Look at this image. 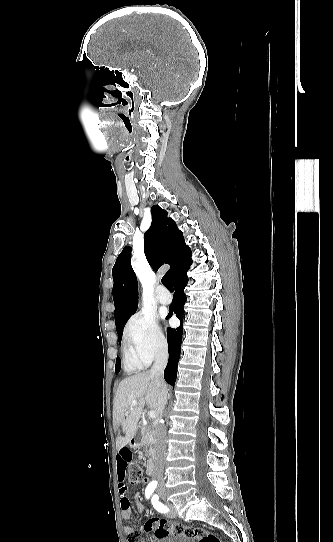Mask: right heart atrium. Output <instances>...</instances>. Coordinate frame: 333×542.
Wrapping results in <instances>:
<instances>
[{
  "label": "right heart atrium",
  "mask_w": 333,
  "mask_h": 542,
  "mask_svg": "<svg viewBox=\"0 0 333 542\" xmlns=\"http://www.w3.org/2000/svg\"><path fill=\"white\" fill-rule=\"evenodd\" d=\"M123 337L126 344L140 348L150 358L162 355L168 346L167 334L161 322L145 312H138L129 320Z\"/></svg>",
  "instance_id": "d8ad5b80"
}]
</instances>
